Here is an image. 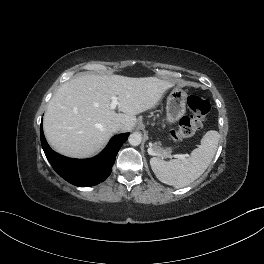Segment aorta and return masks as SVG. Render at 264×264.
Listing matches in <instances>:
<instances>
[{"label":"aorta","instance_id":"1","mask_svg":"<svg viewBox=\"0 0 264 264\" xmlns=\"http://www.w3.org/2000/svg\"><path fill=\"white\" fill-rule=\"evenodd\" d=\"M128 141L132 146H138L142 141V134L140 132H133L130 134Z\"/></svg>","mask_w":264,"mask_h":264}]
</instances>
